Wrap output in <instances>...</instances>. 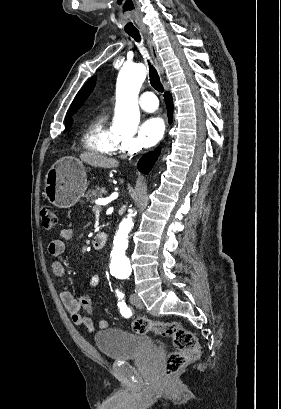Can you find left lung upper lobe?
Segmentation results:
<instances>
[{
    "label": "left lung upper lobe",
    "instance_id": "obj_1",
    "mask_svg": "<svg viewBox=\"0 0 281 409\" xmlns=\"http://www.w3.org/2000/svg\"><path fill=\"white\" fill-rule=\"evenodd\" d=\"M95 81L96 77H92L90 80L87 81V83L80 89V91L77 93L74 101L71 104L70 110L72 113L78 110V108L84 103V101L87 99L89 94L92 92L94 86H95Z\"/></svg>",
    "mask_w": 281,
    "mask_h": 409
}]
</instances>
